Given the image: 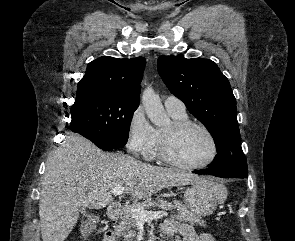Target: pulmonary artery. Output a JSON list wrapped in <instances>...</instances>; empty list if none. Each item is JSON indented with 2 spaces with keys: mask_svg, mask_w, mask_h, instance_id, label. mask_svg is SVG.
<instances>
[{
  "mask_svg": "<svg viewBox=\"0 0 295 241\" xmlns=\"http://www.w3.org/2000/svg\"><path fill=\"white\" fill-rule=\"evenodd\" d=\"M164 105L168 111L186 113L184 103L176 96H168L164 101Z\"/></svg>",
  "mask_w": 295,
  "mask_h": 241,
  "instance_id": "pulmonary-artery-1",
  "label": "pulmonary artery"
}]
</instances>
